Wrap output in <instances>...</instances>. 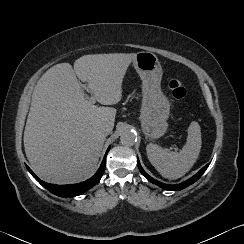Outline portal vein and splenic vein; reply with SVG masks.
Instances as JSON below:
<instances>
[{
	"label": "portal vein and splenic vein",
	"instance_id": "obj_1",
	"mask_svg": "<svg viewBox=\"0 0 244 244\" xmlns=\"http://www.w3.org/2000/svg\"><path fill=\"white\" fill-rule=\"evenodd\" d=\"M83 87L87 90V92H90L86 86H83ZM88 102H89L90 104H95V99H94V97H90L89 100H88Z\"/></svg>",
	"mask_w": 244,
	"mask_h": 244
}]
</instances>
